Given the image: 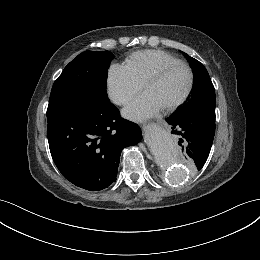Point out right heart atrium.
Masks as SVG:
<instances>
[{
	"label": "right heart atrium",
	"instance_id": "1",
	"mask_svg": "<svg viewBox=\"0 0 260 260\" xmlns=\"http://www.w3.org/2000/svg\"><path fill=\"white\" fill-rule=\"evenodd\" d=\"M142 87L124 65L114 64L110 67L107 78L108 95L116 105H127Z\"/></svg>",
	"mask_w": 260,
	"mask_h": 260
}]
</instances>
